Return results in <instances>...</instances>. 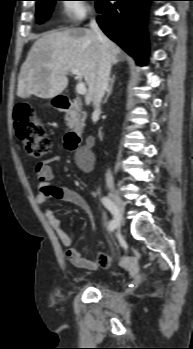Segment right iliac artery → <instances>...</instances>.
<instances>
[{
  "instance_id": "82829eb1",
  "label": "right iliac artery",
  "mask_w": 193,
  "mask_h": 349,
  "mask_svg": "<svg viewBox=\"0 0 193 349\" xmlns=\"http://www.w3.org/2000/svg\"><path fill=\"white\" fill-rule=\"evenodd\" d=\"M101 202L112 214V221L110 222L108 229L109 231H113L117 226V221L115 220L117 218L115 204L108 197H103Z\"/></svg>"
}]
</instances>
